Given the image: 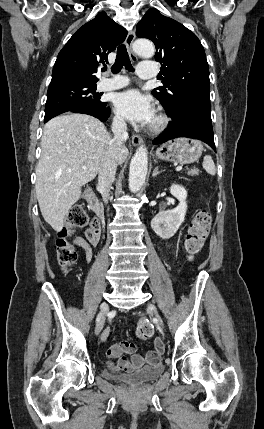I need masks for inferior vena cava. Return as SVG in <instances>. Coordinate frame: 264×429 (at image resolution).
Listing matches in <instances>:
<instances>
[{"label":"inferior vena cava","mask_w":264,"mask_h":429,"mask_svg":"<svg viewBox=\"0 0 264 429\" xmlns=\"http://www.w3.org/2000/svg\"><path fill=\"white\" fill-rule=\"evenodd\" d=\"M114 138L109 143V149L102 158L98 170V184L105 204L109 200V192L115 180L117 169V151L128 139L127 125L123 118H114L112 123Z\"/></svg>","instance_id":"602c4592"}]
</instances>
